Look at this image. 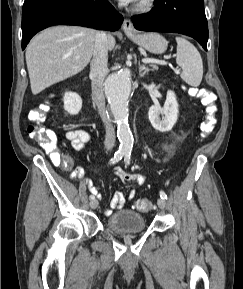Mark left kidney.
I'll use <instances>...</instances> for the list:
<instances>
[{
    "label": "left kidney",
    "mask_w": 243,
    "mask_h": 289,
    "mask_svg": "<svg viewBox=\"0 0 243 289\" xmlns=\"http://www.w3.org/2000/svg\"><path fill=\"white\" fill-rule=\"evenodd\" d=\"M178 103L173 91H168L163 107L153 105L149 108L148 117L154 129L160 132L170 131L178 119ZM162 115V120L160 119Z\"/></svg>",
    "instance_id": "left-kidney-1"
}]
</instances>
